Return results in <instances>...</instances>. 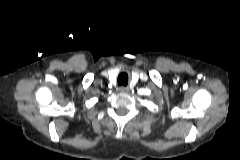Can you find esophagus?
Wrapping results in <instances>:
<instances>
[{"label":"esophagus","mask_w":240,"mask_h":160,"mask_svg":"<svg viewBox=\"0 0 240 160\" xmlns=\"http://www.w3.org/2000/svg\"><path fill=\"white\" fill-rule=\"evenodd\" d=\"M119 90L121 93H127L129 91L128 87H124V86L120 87Z\"/></svg>","instance_id":"obj_1"}]
</instances>
